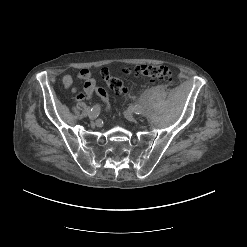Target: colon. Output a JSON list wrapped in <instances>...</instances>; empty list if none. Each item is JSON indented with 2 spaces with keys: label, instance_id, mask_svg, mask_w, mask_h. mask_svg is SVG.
Wrapping results in <instances>:
<instances>
[{
  "label": "colon",
  "instance_id": "obj_1",
  "mask_svg": "<svg viewBox=\"0 0 247 247\" xmlns=\"http://www.w3.org/2000/svg\"><path fill=\"white\" fill-rule=\"evenodd\" d=\"M126 74H137L148 79L161 83L163 85H169L172 83L173 74L172 71L164 65H140L137 67H128L125 69ZM103 80L107 85L116 92L123 93L126 91V87L123 81L117 77L111 76L107 69H103L101 72ZM97 95L102 102L108 106L109 96L105 89L98 88L96 90Z\"/></svg>",
  "mask_w": 247,
  "mask_h": 247
}]
</instances>
